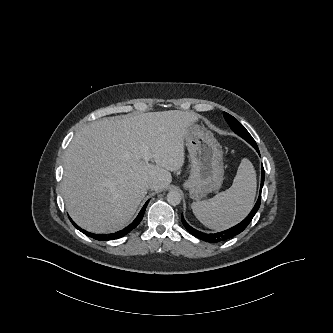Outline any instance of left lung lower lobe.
<instances>
[{
  "mask_svg": "<svg viewBox=\"0 0 333 333\" xmlns=\"http://www.w3.org/2000/svg\"><path fill=\"white\" fill-rule=\"evenodd\" d=\"M253 147L256 149V151L259 153V149L257 145H253ZM264 184V168L262 165L261 168V185H260V193H259V197L258 200L254 206V208L252 209V211L250 212V214L239 224H237L236 226H233L232 228L222 231V232H218V233H203L200 232L196 229H194L193 227H191L183 218V216L181 217L182 223L185 226V228L195 237L199 238L200 240L206 241V242H210V243H218V242H223L225 240H228L236 235H238L239 233H241L247 226L248 224L251 222L252 218L254 217V215L256 214V212L258 211L259 207H260V203H261V191H262V187Z\"/></svg>",
  "mask_w": 333,
  "mask_h": 333,
  "instance_id": "obj_1",
  "label": "left lung lower lobe"
}]
</instances>
